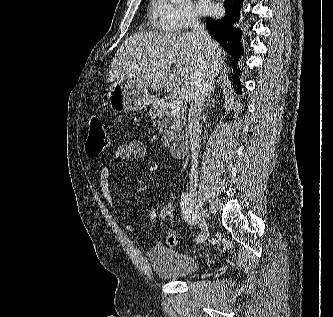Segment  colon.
<instances>
[{
  "label": "colon",
  "mask_w": 333,
  "mask_h": 317,
  "mask_svg": "<svg viewBox=\"0 0 333 317\" xmlns=\"http://www.w3.org/2000/svg\"><path fill=\"white\" fill-rule=\"evenodd\" d=\"M109 135L97 117H92L89 122V133L86 141V153L90 157L100 155L105 148L109 145ZM176 217V210L172 203L164 204L157 211V219L165 222L168 225V232L166 242L170 247L178 245V237L173 231L172 227Z\"/></svg>",
  "instance_id": "5ec220e1"
}]
</instances>
